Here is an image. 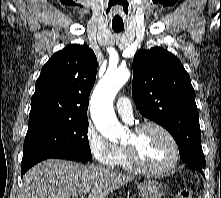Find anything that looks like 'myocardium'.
<instances>
[{"label": "myocardium", "instance_id": "1", "mask_svg": "<svg viewBox=\"0 0 221 198\" xmlns=\"http://www.w3.org/2000/svg\"><path fill=\"white\" fill-rule=\"evenodd\" d=\"M149 128H155V129L161 131L171 142L172 148H173V157H172V160L170 161V163H168L166 166L161 167V168H151V167L145 166L140 161V159L137 155L136 148L133 144H125L124 145L126 155H127L130 165L136 171H139L144 174H149V175H164V174L170 172L171 170H173L177 166V164L179 163L180 146H179L177 139L175 138V136L172 134V132L169 129H167L162 124L154 122V121H148V122H144V123L136 125L132 129L131 133L134 136H138L140 133H142L143 131H145L146 129H149Z\"/></svg>", "mask_w": 221, "mask_h": 198}]
</instances>
